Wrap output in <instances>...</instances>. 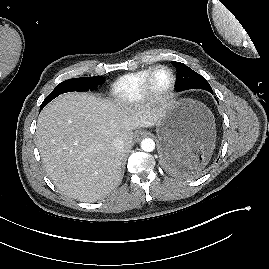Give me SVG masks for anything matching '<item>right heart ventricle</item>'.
<instances>
[{
  "label": "right heart ventricle",
  "mask_w": 269,
  "mask_h": 269,
  "mask_svg": "<svg viewBox=\"0 0 269 269\" xmlns=\"http://www.w3.org/2000/svg\"><path fill=\"white\" fill-rule=\"evenodd\" d=\"M150 70L142 69L118 78L112 85L113 98L125 105L138 102L142 98V86Z\"/></svg>",
  "instance_id": "e07e8e85"
}]
</instances>
